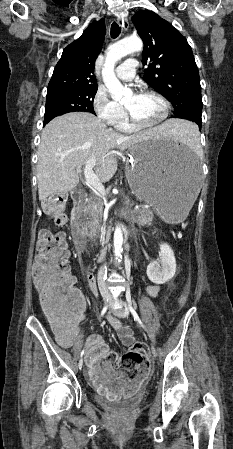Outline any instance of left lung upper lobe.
I'll return each instance as SVG.
<instances>
[{
	"instance_id": "5c2ea615",
	"label": "left lung upper lobe",
	"mask_w": 233,
	"mask_h": 449,
	"mask_svg": "<svg viewBox=\"0 0 233 449\" xmlns=\"http://www.w3.org/2000/svg\"><path fill=\"white\" fill-rule=\"evenodd\" d=\"M132 21L144 42L143 79L172 103L174 117L202 124V97L198 68L185 37L169 22L149 10Z\"/></svg>"
}]
</instances>
